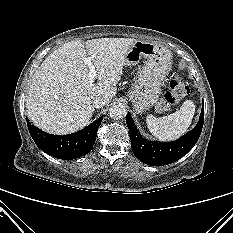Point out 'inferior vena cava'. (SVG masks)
Wrapping results in <instances>:
<instances>
[{"mask_svg":"<svg viewBox=\"0 0 233 233\" xmlns=\"http://www.w3.org/2000/svg\"><path fill=\"white\" fill-rule=\"evenodd\" d=\"M106 104V101L104 98L102 97H96L95 99H93L92 101V105L95 108H101Z\"/></svg>","mask_w":233,"mask_h":233,"instance_id":"1","label":"inferior vena cava"}]
</instances>
